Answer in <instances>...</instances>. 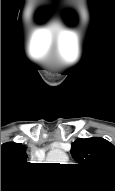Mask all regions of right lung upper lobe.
<instances>
[{
    "label": "right lung upper lobe",
    "mask_w": 115,
    "mask_h": 191,
    "mask_svg": "<svg viewBox=\"0 0 115 191\" xmlns=\"http://www.w3.org/2000/svg\"><path fill=\"white\" fill-rule=\"evenodd\" d=\"M27 153L21 143L7 142L1 145V176L14 175L23 171L27 163Z\"/></svg>",
    "instance_id": "obj_1"
}]
</instances>
